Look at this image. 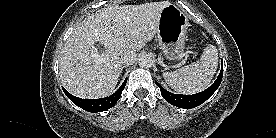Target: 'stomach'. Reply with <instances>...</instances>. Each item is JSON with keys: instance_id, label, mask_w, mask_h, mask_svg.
Here are the masks:
<instances>
[{"instance_id": "0dacf381", "label": "stomach", "mask_w": 276, "mask_h": 138, "mask_svg": "<svg viewBox=\"0 0 276 138\" xmlns=\"http://www.w3.org/2000/svg\"><path fill=\"white\" fill-rule=\"evenodd\" d=\"M188 26L186 14L176 5L170 3L162 9L157 36L160 48L168 61H175L183 55Z\"/></svg>"}]
</instances>
